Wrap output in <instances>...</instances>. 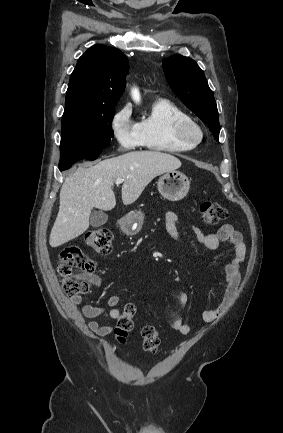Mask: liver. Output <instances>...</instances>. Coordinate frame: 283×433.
<instances>
[{"label": "liver", "mask_w": 283, "mask_h": 433, "mask_svg": "<svg viewBox=\"0 0 283 433\" xmlns=\"http://www.w3.org/2000/svg\"><path fill=\"white\" fill-rule=\"evenodd\" d=\"M93 164L82 162L73 174L66 176L60 190L59 212L50 233L51 247H60L85 233L94 206L100 210L114 208L112 186L116 178H124L123 204H132L155 176L179 168L181 160L159 150H133Z\"/></svg>", "instance_id": "liver-1"}]
</instances>
